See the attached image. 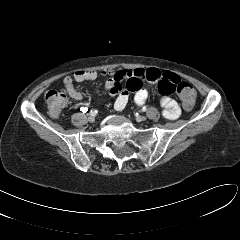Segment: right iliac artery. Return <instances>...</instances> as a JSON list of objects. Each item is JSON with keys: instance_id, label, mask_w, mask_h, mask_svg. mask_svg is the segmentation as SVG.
I'll return each mask as SVG.
<instances>
[{"instance_id": "right-iliac-artery-1", "label": "right iliac artery", "mask_w": 240, "mask_h": 240, "mask_svg": "<svg viewBox=\"0 0 240 240\" xmlns=\"http://www.w3.org/2000/svg\"><path fill=\"white\" fill-rule=\"evenodd\" d=\"M81 110H82V112H84V113L87 112V108H84V107H83V108H81ZM96 113H97V110H94V109H93V110L90 111V114H92V115H95Z\"/></svg>"}]
</instances>
